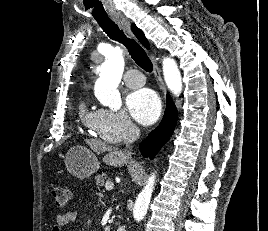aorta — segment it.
Returning <instances> with one entry per match:
<instances>
[{
	"label": "aorta",
	"mask_w": 268,
	"mask_h": 231,
	"mask_svg": "<svg viewBox=\"0 0 268 231\" xmlns=\"http://www.w3.org/2000/svg\"><path fill=\"white\" fill-rule=\"evenodd\" d=\"M162 66L166 85L174 95H179L182 91V79L176 61L165 57ZM123 71V51L119 47L113 48L101 67L100 77L95 84V95L103 106L114 111L119 110L122 106L121 96L117 88ZM155 179V174H151L145 187L136 198L133 208V217L136 221H141L147 213Z\"/></svg>",
	"instance_id": "aorta-1"
}]
</instances>
